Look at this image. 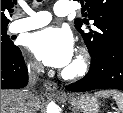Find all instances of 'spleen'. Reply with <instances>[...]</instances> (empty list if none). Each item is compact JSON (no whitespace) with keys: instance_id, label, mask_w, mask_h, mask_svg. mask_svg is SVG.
<instances>
[{"instance_id":"1","label":"spleen","mask_w":123,"mask_h":113,"mask_svg":"<svg viewBox=\"0 0 123 113\" xmlns=\"http://www.w3.org/2000/svg\"><path fill=\"white\" fill-rule=\"evenodd\" d=\"M98 97H110L112 96L119 108V110L123 113V93L116 90H108V91H99L96 93Z\"/></svg>"}]
</instances>
